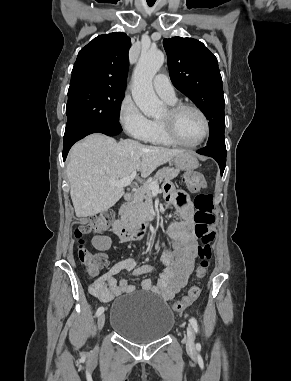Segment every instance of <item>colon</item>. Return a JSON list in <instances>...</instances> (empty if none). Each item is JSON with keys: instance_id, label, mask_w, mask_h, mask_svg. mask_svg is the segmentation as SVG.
Here are the masks:
<instances>
[{"instance_id": "obj_1", "label": "colon", "mask_w": 291, "mask_h": 381, "mask_svg": "<svg viewBox=\"0 0 291 381\" xmlns=\"http://www.w3.org/2000/svg\"><path fill=\"white\" fill-rule=\"evenodd\" d=\"M184 182L193 192H198L194 204L196 212L194 214L195 234L201 240L202 245L198 249L199 264L196 268V275L204 277L210 266L212 257L211 244L215 239V230L213 225L215 222L213 197L209 193L200 192L205 187V179L202 175L192 172L184 176ZM178 202H182L179 198ZM113 221V213L111 211H103L96 215L90 216L86 221L80 223L74 231L78 240V256L84 264L86 271L91 276H96L99 271L107 264L108 258L102 253H92L85 248L83 237L90 233H102L106 231ZM200 294V288L193 286L188 293L173 304L174 311L181 313L189 305H191Z\"/></svg>"}]
</instances>
